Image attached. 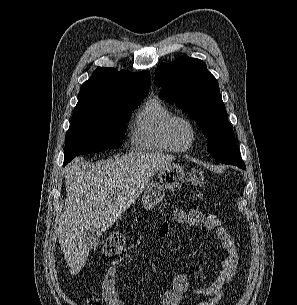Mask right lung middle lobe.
<instances>
[{
  "label": "right lung middle lobe",
  "instance_id": "right-lung-middle-lobe-1",
  "mask_svg": "<svg viewBox=\"0 0 297 305\" xmlns=\"http://www.w3.org/2000/svg\"><path fill=\"white\" fill-rule=\"evenodd\" d=\"M143 98L126 99L108 105L75 107L65 137L64 165L80 153L121 147L131 109Z\"/></svg>",
  "mask_w": 297,
  "mask_h": 305
}]
</instances>
